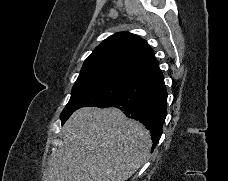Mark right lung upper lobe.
I'll return each mask as SVG.
<instances>
[{
	"label": "right lung upper lobe",
	"mask_w": 228,
	"mask_h": 181,
	"mask_svg": "<svg viewBox=\"0 0 228 181\" xmlns=\"http://www.w3.org/2000/svg\"><path fill=\"white\" fill-rule=\"evenodd\" d=\"M159 63L146 41L120 32L104 40L85 60L78 78L114 76L133 79Z\"/></svg>",
	"instance_id": "1"
}]
</instances>
